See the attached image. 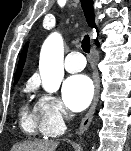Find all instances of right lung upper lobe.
I'll list each match as a JSON object with an SVG mask.
<instances>
[{
    "instance_id": "1",
    "label": "right lung upper lobe",
    "mask_w": 131,
    "mask_h": 151,
    "mask_svg": "<svg viewBox=\"0 0 131 151\" xmlns=\"http://www.w3.org/2000/svg\"><path fill=\"white\" fill-rule=\"evenodd\" d=\"M81 5H82V9L84 11L87 23L89 24L90 27L96 28V25L94 22L93 1L92 0H81ZM27 47H28V44L25 45L24 50L20 56V59L18 62V67L16 70V75H15V82H17L21 76L22 68L24 66L25 59H26Z\"/></svg>"
}]
</instances>
